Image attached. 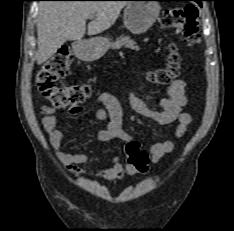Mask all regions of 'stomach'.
<instances>
[{
	"instance_id": "obj_1",
	"label": "stomach",
	"mask_w": 234,
	"mask_h": 231,
	"mask_svg": "<svg viewBox=\"0 0 234 231\" xmlns=\"http://www.w3.org/2000/svg\"><path fill=\"white\" fill-rule=\"evenodd\" d=\"M160 10L158 2L133 0L126 5L124 10V25L133 34H143L155 23ZM109 47L110 40L108 38L96 37L76 42L74 50L81 60L95 61L104 56Z\"/></svg>"
}]
</instances>
